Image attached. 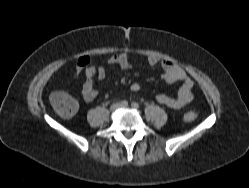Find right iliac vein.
I'll return each mask as SVG.
<instances>
[{
  "label": "right iliac vein",
  "mask_w": 249,
  "mask_h": 188,
  "mask_svg": "<svg viewBox=\"0 0 249 188\" xmlns=\"http://www.w3.org/2000/svg\"><path fill=\"white\" fill-rule=\"evenodd\" d=\"M118 108V105H113L112 107H111V109L114 111V110H116Z\"/></svg>",
  "instance_id": "63e3f726"
}]
</instances>
